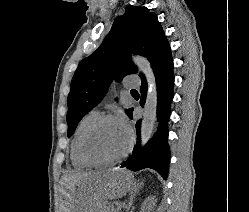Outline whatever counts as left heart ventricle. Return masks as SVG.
Returning a JSON list of instances; mask_svg holds the SVG:
<instances>
[{
	"mask_svg": "<svg viewBox=\"0 0 249 212\" xmlns=\"http://www.w3.org/2000/svg\"><path fill=\"white\" fill-rule=\"evenodd\" d=\"M128 142L129 135L123 125L117 122H105L89 136L87 152L96 160H111L125 151Z\"/></svg>",
	"mask_w": 249,
	"mask_h": 212,
	"instance_id": "b2bd125f",
	"label": "left heart ventricle"
}]
</instances>
